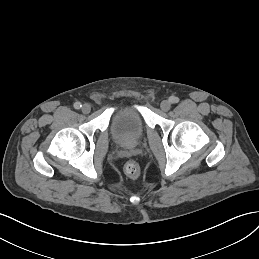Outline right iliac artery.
I'll return each mask as SVG.
<instances>
[{"instance_id": "right-iliac-artery-1", "label": "right iliac artery", "mask_w": 259, "mask_h": 259, "mask_svg": "<svg viewBox=\"0 0 259 259\" xmlns=\"http://www.w3.org/2000/svg\"><path fill=\"white\" fill-rule=\"evenodd\" d=\"M81 107H82V105H81L80 102L74 103V108H75V109H80Z\"/></svg>"}]
</instances>
